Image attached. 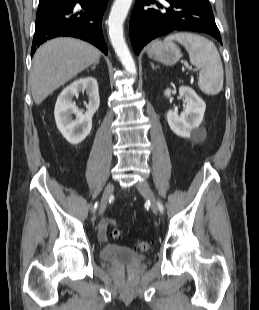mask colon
I'll list each match as a JSON object with an SVG mask.
<instances>
[{
  "label": "colon",
  "mask_w": 259,
  "mask_h": 310,
  "mask_svg": "<svg viewBox=\"0 0 259 310\" xmlns=\"http://www.w3.org/2000/svg\"><path fill=\"white\" fill-rule=\"evenodd\" d=\"M107 226H115L116 225V220L113 218H108L104 221ZM111 236L114 239H118L121 237V230L118 228H113L111 231ZM151 243L149 241H138L135 246L134 250L137 252H146L150 249Z\"/></svg>",
  "instance_id": "colon-1"
}]
</instances>
